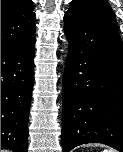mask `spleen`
<instances>
[{
    "label": "spleen",
    "mask_w": 123,
    "mask_h": 152,
    "mask_svg": "<svg viewBox=\"0 0 123 152\" xmlns=\"http://www.w3.org/2000/svg\"><path fill=\"white\" fill-rule=\"evenodd\" d=\"M103 152H114L113 150H109V151H107V150H104Z\"/></svg>",
    "instance_id": "3e777b00"
}]
</instances>
